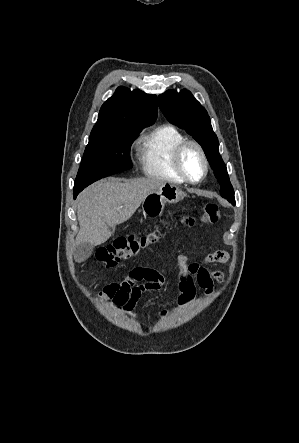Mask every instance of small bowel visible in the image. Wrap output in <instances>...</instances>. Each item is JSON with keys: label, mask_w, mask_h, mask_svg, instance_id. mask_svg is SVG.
<instances>
[{"label": "small bowel", "mask_w": 299, "mask_h": 443, "mask_svg": "<svg viewBox=\"0 0 299 443\" xmlns=\"http://www.w3.org/2000/svg\"><path fill=\"white\" fill-rule=\"evenodd\" d=\"M228 258V253L223 250L209 253L202 263H191L185 255H179L178 307L181 308L191 301L196 292V285L204 289L206 294H211L213 283L221 282L224 275L221 271L210 270L208 266L213 263H226ZM164 283L165 278L160 272L150 268H135L121 282L107 285L100 297L110 299L114 306L135 317V309L142 295L161 290ZM167 313L168 311L164 310L160 315L165 316Z\"/></svg>", "instance_id": "obj_1"}]
</instances>
